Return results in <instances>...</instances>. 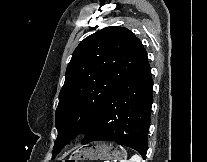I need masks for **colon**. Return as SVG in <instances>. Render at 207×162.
I'll use <instances>...</instances> for the list:
<instances>
[{
  "instance_id": "colon-1",
  "label": "colon",
  "mask_w": 207,
  "mask_h": 162,
  "mask_svg": "<svg viewBox=\"0 0 207 162\" xmlns=\"http://www.w3.org/2000/svg\"><path fill=\"white\" fill-rule=\"evenodd\" d=\"M60 162H78V161L72 160V159H67V160H63V161H60Z\"/></svg>"
}]
</instances>
